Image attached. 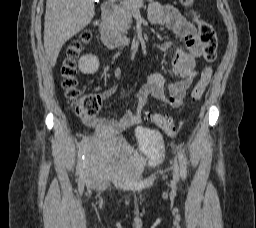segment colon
<instances>
[{"mask_svg":"<svg viewBox=\"0 0 256 228\" xmlns=\"http://www.w3.org/2000/svg\"><path fill=\"white\" fill-rule=\"evenodd\" d=\"M180 3L187 8L192 7L194 0H180ZM199 29L200 41L203 44V57L207 62H213L216 59L218 39L215 29L206 21L199 19L196 12L193 13ZM92 38L90 30L81 33L77 40H74L67 49L66 58L61 67V75L63 78V88L66 97L75 110L76 114L82 118H95L101 109V96L93 93L81 94L78 88L77 67L75 58L82 51L83 45ZM212 76L211 67H206L197 84L195 85L191 98L198 101L203 96ZM150 122L161 128L168 135H175L176 126L166 117L159 113L148 115Z\"/></svg>","mask_w":256,"mask_h":228,"instance_id":"5ec220e1","label":"colon"}]
</instances>
